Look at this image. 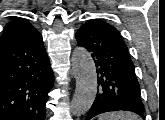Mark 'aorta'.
Masks as SVG:
<instances>
[{"label": "aorta", "mask_w": 165, "mask_h": 120, "mask_svg": "<svg viewBox=\"0 0 165 120\" xmlns=\"http://www.w3.org/2000/svg\"><path fill=\"white\" fill-rule=\"evenodd\" d=\"M72 68L76 79L72 99V113L80 116L92 106L97 94V73L90 53L83 47H76L72 54Z\"/></svg>", "instance_id": "762f6f07"}]
</instances>
